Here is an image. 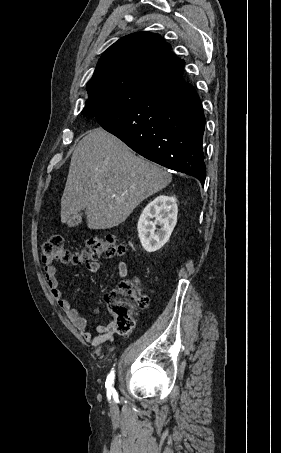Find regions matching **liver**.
Here are the masks:
<instances>
[{
    "mask_svg": "<svg viewBox=\"0 0 281 453\" xmlns=\"http://www.w3.org/2000/svg\"><path fill=\"white\" fill-rule=\"evenodd\" d=\"M171 180L170 172L136 156L117 136L92 128L72 154L61 198V222L85 208L89 229H112Z\"/></svg>",
    "mask_w": 281,
    "mask_h": 453,
    "instance_id": "obj_1",
    "label": "liver"
}]
</instances>
